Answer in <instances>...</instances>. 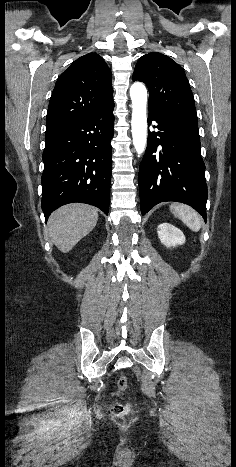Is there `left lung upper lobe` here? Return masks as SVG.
<instances>
[{
	"label": "left lung upper lobe",
	"instance_id": "left-lung-upper-lobe-1",
	"mask_svg": "<svg viewBox=\"0 0 236 467\" xmlns=\"http://www.w3.org/2000/svg\"><path fill=\"white\" fill-rule=\"evenodd\" d=\"M133 80L149 88L148 109L168 113H195L193 94L184 70L161 53L142 56L135 67Z\"/></svg>",
	"mask_w": 236,
	"mask_h": 467
}]
</instances>
